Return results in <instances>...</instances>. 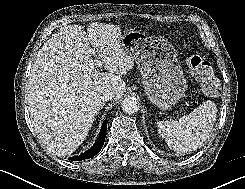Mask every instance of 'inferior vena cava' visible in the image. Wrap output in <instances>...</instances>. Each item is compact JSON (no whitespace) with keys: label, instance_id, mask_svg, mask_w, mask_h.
Here are the masks:
<instances>
[{"label":"inferior vena cava","instance_id":"602c4592","mask_svg":"<svg viewBox=\"0 0 245 189\" xmlns=\"http://www.w3.org/2000/svg\"><path fill=\"white\" fill-rule=\"evenodd\" d=\"M100 98L103 102H107L109 100H112L114 98V92L111 89H107V90L103 91Z\"/></svg>","mask_w":245,"mask_h":189}]
</instances>
